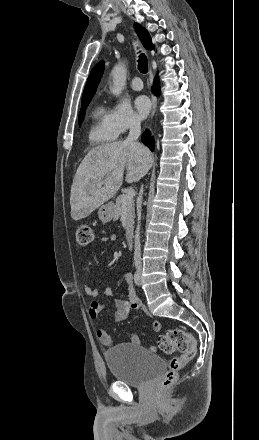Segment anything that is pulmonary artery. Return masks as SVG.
I'll list each match as a JSON object with an SVG mask.
<instances>
[{"mask_svg":"<svg viewBox=\"0 0 259 440\" xmlns=\"http://www.w3.org/2000/svg\"><path fill=\"white\" fill-rule=\"evenodd\" d=\"M131 88L139 91L143 88V82L140 77H134L131 81Z\"/></svg>","mask_w":259,"mask_h":440,"instance_id":"e3ab8cb5","label":"pulmonary artery"}]
</instances>
